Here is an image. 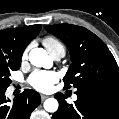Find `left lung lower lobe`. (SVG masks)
<instances>
[{
  "label": "left lung lower lobe",
  "instance_id": "0a47b994",
  "mask_svg": "<svg viewBox=\"0 0 119 119\" xmlns=\"http://www.w3.org/2000/svg\"><path fill=\"white\" fill-rule=\"evenodd\" d=\"M75 93L74 104H68L63 94H55L59 108L52 119H119V89L99 87Z\"/></svg>",
  "mask_w": 119,
  "mask_h": 119
}]
</instances>
